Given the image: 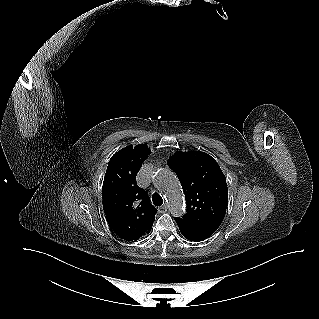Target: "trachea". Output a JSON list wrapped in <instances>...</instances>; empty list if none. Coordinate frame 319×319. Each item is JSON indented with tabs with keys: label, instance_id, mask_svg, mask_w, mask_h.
<instances>
[{
	"label": "trachea",
	"instance_id": "3493384b",
	"mask_svg": "<svg viewBox=\"0 0 319 319\" xmlns=\"http://www.w3.org/2000/svg\"><path fill=\"white\" fill-rule=\"evenodd\" d=\"M152 201L155 206H161L163 204V199L158 193L152 196Z\"/></svg>",
	"mask_w": 319,
	"mask_h": 319
}]
</instances>
